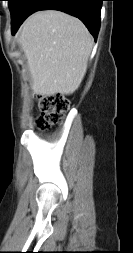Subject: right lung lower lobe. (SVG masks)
<instances>
[{
    "mask_svg": "<svg viewBox=\"0 0 133 253\" xmlns=\"http://www.w3.org/2000/svg\"><path fill=\"white\" fill-rule=\"evenodd\" d=\"M104 0H25L18 21L12 26L15 34L22 22L39 10H59L79 18L96 39L100 28V11Z\"/></svg>",
    "mask_w": 133,
    "mask_h": 253,
    "instance_id": "98d812e1",
    "label": "right lung lower lobe"
}]
</instances>
